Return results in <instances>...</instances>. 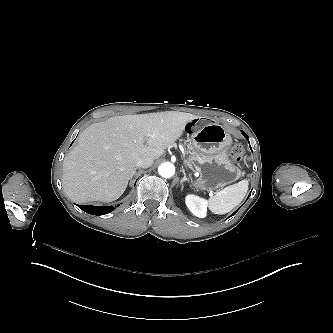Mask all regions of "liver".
I'll use <instances>...</instances> for the list:
<instances>
[{"instance_id": "6515ba94", "label": "liver", "mask_w": 333, "mask_h": 333, "mask_svg": "<svg viewBox=\"0 0 333 333\" xmlns=\"http://www.w3.org/2000/svg\"><path fill=\"white\" fill-rule=\"evenodd\" d=\"M191 113L115 116L91 124L63 162V189L75 203L112 202L125 191L140 158L158 159L179 139Z\"/></svg>"}]
</instances>
